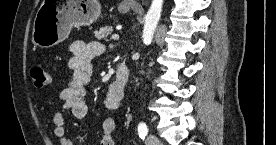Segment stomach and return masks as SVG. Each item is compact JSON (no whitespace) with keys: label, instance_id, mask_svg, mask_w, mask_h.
Returning a JSON list of instances; mask_svg holds the SVG:
<instances>
[{"label":"stomach","instance_id":"obj_1","mask_svg":"<svg viewBox=\"0 0 276 145\" xmlns=\"http://www.w3.org/2000/svg\"><path fill=\"white\" fill-rule=\"evenodd\" d=\"M128 6L119 7L126 13ZM101 15L97 0H43L33 24L32 41L41 48H50L64 41L73 26H87Z\"/></svg>","mask_w":276,"mask_h":145}]
</instances>
